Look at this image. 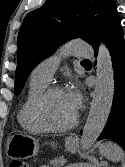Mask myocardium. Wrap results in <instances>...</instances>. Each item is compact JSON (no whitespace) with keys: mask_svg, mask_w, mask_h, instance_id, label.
<instances>
[{"mask_svg":"<svg viewBox=\"0 0 125 167\" xmlns=\"http://www.w3.org/2000/svg\"><path fill=\"white\" fill-rule=\"evenodd\" d=\"M63 91L62 87L53 85L47 87L38 97L33 107V117L35 122L46 132H65L72 129L78 121V114L75 113L74 117L62 126H53L45 118L44 110L47 100L57 92Z\"/></svg>","mask_w":125,"mask_h":167,"instance_id":"myocardium-1","label":"myocardium"}]
</instances>
